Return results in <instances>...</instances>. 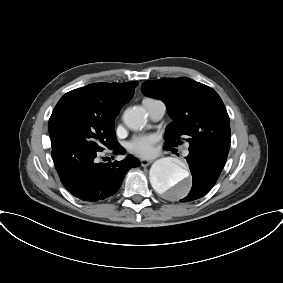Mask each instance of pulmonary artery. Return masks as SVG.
<instances>
[{"mask_svg": "<svg viewBox=\"0 0 283 283\" xmlns=\"http://www.w3.org/2000/svg\"><path fill=\"white\" fill-rule=\"evenodd\" d=\"M142 105L147 110L149 117L153 121H159L165 114L166 105L161 100H143ZM188 154V150H184V155Z\"/></svg>", "mask_w": 283, "mask_h": 283, "instance_id": "obj_1", "label": "pulmonary artery"}]
</instances>
